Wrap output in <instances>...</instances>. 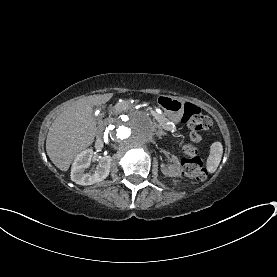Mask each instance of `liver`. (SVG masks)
I'll list each match as a JSON object with an SVG mask.
<instances>
[{
  "label": "liver",
  "instance_id": "liver-1",
  "mask_svg": "<svg viewBox=\"0 0 277 277\" xmlns=\"http://www.w3.org/2000/svg\"><path fill=\"white\" fill-rule=\"evenodd\" d=\"M113 96L114 93L87 96L54 119L46 137V153L58 169L67 172L78 154L93 145L97 123L92 114Z\"/></svg>",
  "mask_w": 277,
  "mask_h": 277
}]
</instances>
